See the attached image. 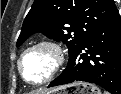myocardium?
Listing matches in <instances>:
<instances>
[{"mask_svg": "<svg viewBox=\"0 0 121 94\" xmlns=\"http://www.w3.org/2000/svg\"><path fill=\"white\" fill-rule=\"evenodd\" d=\"M37 50H45L50 55L51 67H50L48 74L43 79H41L38 82H32L24 76V73L22 70V62L25 56ZM65 61H66V56H65L63 48L61 47L59 43L52 41V40H40L28 46L21 53L17 61V68H18L19 74L21 75L22 79L26 83L32 86H41L50 82L52 79H54L58 75V73L61 71L62 67L65 64Z\"/></svg>", "mask_w": 121, "mask_h": 94, "instance_id": "f54148a6", "label": "myocardium"}]
</instances>
